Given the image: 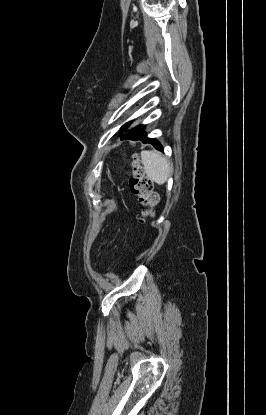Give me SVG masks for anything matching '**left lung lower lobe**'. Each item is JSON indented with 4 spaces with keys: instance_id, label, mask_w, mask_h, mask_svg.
Returning a JSON list of instances; mask_svg holds the SVG:
<instances>
[{
    "instance_id": "obj_1",
    "label": "left lung lower lobe",
    "mask_w": 266,
    "mask_h": 415,
    "mask_svg": "<svg viewBox=\"0 0 266 415\" xmlns=\"http://www.w3.org/2000/svg\"><path fill=\"white\" fill-rule=\"evenodd\" d=\"M126 139L141 140V141H143V143L152 144L156 149H158L160 151L163 150L162 145L155 138H148L146 136V134H142V135H139V136H136V137H133V138L129 137V138H126Z\"/></svg>"
}]
</instances>
